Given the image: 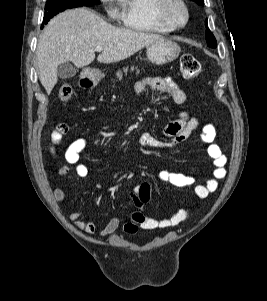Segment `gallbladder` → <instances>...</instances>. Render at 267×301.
<instances>
[{
  "label": "gallbladder",
  "instance_id": "obj_1",
  "mask_svg": "<svg viewBox=\"0 0 267 301\" xmlns=\"http://www.w3.org/2000/svg\"><path fill=\"white\" fill-rule=\"evenodd\" d=\"M76 68L70 62L62 63L57 68V75L60 79H69L76 75Z\"/></svg>",
  "mask_w": 267,
  "mask_h": 301
}]
</instances>
